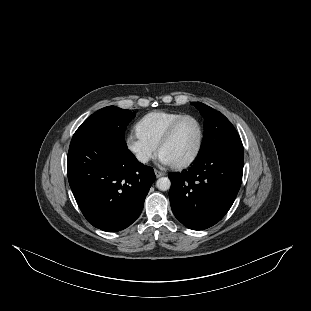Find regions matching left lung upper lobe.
Instances as JSON below:
<instances>
[{
	"label": "left lung upper lobe",
	"mask_w": 311,
	"mask_h": 311,
	"mask_svg": "<svg viewBox=\"0 0 311 311\" xmlns=\"http://www.w3.org/2000/svg\"><path fill=\"white\" fill-rule=\"evenodd\" d=\"M192 104L205 120L204 137L196 160L230 144L242 143L236 129L222 113L200 102Z\"/></svg>",
	"instance_id": "1"
}]
</instances>
